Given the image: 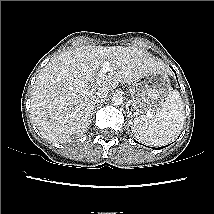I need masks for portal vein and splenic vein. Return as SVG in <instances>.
<instances>
[{"label": "portal vein and splenic vein", "instance_id": "18ae733b", "mask_svg": "<svg viewBox=\"0 0 214 214\" xmlns=\"http://www.w3.org/2000/svg\"><path fill=\"white\" fill-rule=\"evenodd\" d=\"M110 71H112V69L110 67V63L108 61H104L102 68L98 72V75L101 77L105 73L110 72Z\"/></svg>", "mask_w": 214, "mask_h": 214}]
</instances>
